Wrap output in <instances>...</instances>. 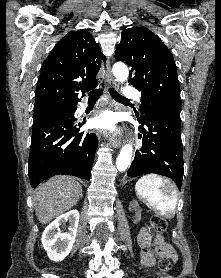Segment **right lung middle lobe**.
Returning <instances> with one entry per match:
<instances>
[{
	"instance_id": "1",
	"label": "right lung middle lobe",
	"mask_w": 221,
	"mask_h": 278,
	"mask_svg": "<svg viewBox=\"0 0 221 278\" xmlns=\"http://www.w3.org/2000/svg\"><path fill=\"white\" fill-rule=\"evenodd\" d=\"M74 108L70 102L50 101L34 106L33 126L54 117H72Z\"/></svg>"
}]
</instances>
